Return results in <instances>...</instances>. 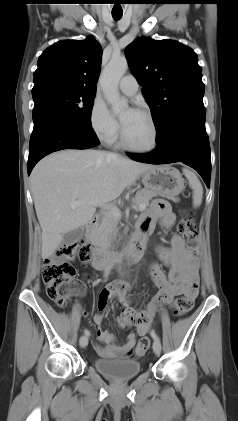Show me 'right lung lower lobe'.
<instances>
[{
	"label": "right lung lower lobe",
	"instance_id": "1",
	"mask_svg": "<svg viewBox=\"0 0 238 421\" xmlns=\"http://www.w3.org/2000/svg\"><path fill=\"white\" fill-rule=\"evenodd\" d=\"M29 144L28 175L46 155L63 149H87L99 143L92 130L53 109H42L33 116Z\"/></svg>",
	"mask_w": 238,
	"mask_h": 421
}]
</instances>
